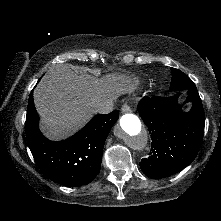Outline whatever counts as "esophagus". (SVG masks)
<instances>
[{
    "mask_svg": "<svg viewBox=\"0 0 221 221\" xmlns=\"http://www.w3.org/2000/svg\"><path fill=\"white\" fill-rule=\"evenodd\" d=\"M122 113L131 112V107L128 104H124L121 108Z\"/></svg>",
    "mask_w": 221,
    "mask_h": 221,
    "instance_id": "esophagus-1",
    "label": "esophagus"
}]
</instances>
